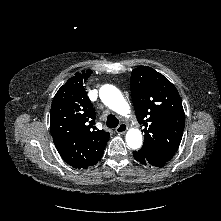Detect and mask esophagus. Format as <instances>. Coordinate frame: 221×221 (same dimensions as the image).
<instances>
[{"instance_id":"34e87169","label":"esophagus","mask_w":221,"mask_h":221,"mask_svg":"<svg viewBox=\"0 0 221 221\" xmlns=\"http://www.w3.org/2000/svg\"><path fill=\"white\" fill-rule=\"evenodd\" d=\"M127 131V125L124 123H121L117 128H116V132L118 134H123Z\"/></svg>"}]
</instances>
